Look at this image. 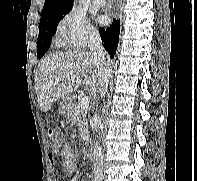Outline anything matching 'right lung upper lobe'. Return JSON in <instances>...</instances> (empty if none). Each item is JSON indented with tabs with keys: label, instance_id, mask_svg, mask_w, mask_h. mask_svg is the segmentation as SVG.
I'll return each mask as SVG.
<instances>
[{
	"label": "right lung upper lobe",
	"instance_id": "cb5924a9",
	"mask_svg": "<svg viewBox=\"0 0 197 181\" xmlns=\"http://www.w3.org/2000/svg\"><path fill=\"white\" fill-rule=\"evenodd\" d=\"M72 5L73 0H45L41 17L70 11Z\"/></svg>",
	"mask_w": 197,
	"mask_h": 181
}]
</instances>
